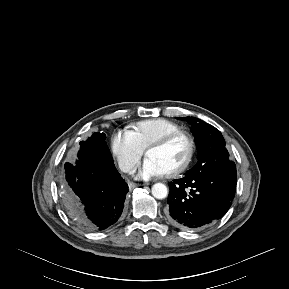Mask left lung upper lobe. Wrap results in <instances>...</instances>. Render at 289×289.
Wrapping results in <instances>:
<instances>
[{
  "instance_id": "1",
  "label": "left lung upper lobe",
  "mask_w": 289,
  "mask_h": 289,
  "mask_svg": "<svg viewBox=\"0 0 289 289\" xmlns=\"http://www.w3.org/2000/svg\"><path fill=\"white\" fill-rule=\"evenodd\" d=\"M192 124L197 145V164L186 174H202L215 170L229 171L236 177L235 163L229 160V153L221 132L212 125L195 117H179Z\"/></svg>"
}]
</instances>
